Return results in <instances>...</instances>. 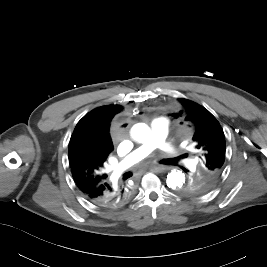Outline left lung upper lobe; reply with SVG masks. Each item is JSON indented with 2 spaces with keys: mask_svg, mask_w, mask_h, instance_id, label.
<instances>
[{
  "mask_svg": "<svg viewBox=\"0 0 267 267\" xmlns=\"http://www.w3.org/2000/svg\"><path fill=\"white\" fill-rule=\"evenodd\" d=\"M180 101L184 107L185 120L194 126L192 140L202 155V163L200 169L179 189V193L184 196L201 195L212 190L222 175L225 136L219 122L208 110L184 98Z\"/></svg>",
  "mask_w": 267,
  "mask_h": 267,
  "instance_id": "obj_1",
  "label": "left lung upper lobe"
}]
</instances>
